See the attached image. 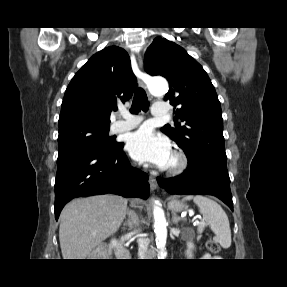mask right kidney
Listing matches in <instances>:
<instances>
[{"label": "right kidney", "instance_id": "1", "mask_svg": "<svg viewBox=\"0 0 287 287\" xmlns=\"http://www.w3.org/2000/svg\"><path fill=\"white\" fill-rule=\"evenodd\" d=\"M116 246V240L112 239L111 240V248H114Z\"/></svg>", "mask_w": 287, "mask_h": 287}]
</instances>
